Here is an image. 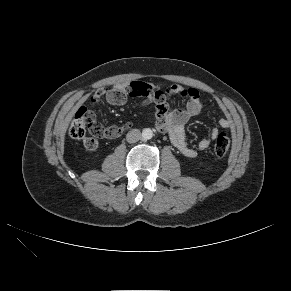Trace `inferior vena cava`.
Returning <instances> with one entry per match:
<instances>
[{
  "instance_id": "obj_1",
  "label": "inferior vena cava",
  "mask_w": 291,
  "mask_h": 291,
  "mask_svg": "<svg viewBox=\"0 0 291 291\" xmlns=\"http://www.w3.org/2000/svg\"><path fill=\"white\" fill-rule=\"evenodd\" d=\"M141 139V132L138 129H132L126 135V140L128 143H135Z\"/></svg>"
}]
</instances>
